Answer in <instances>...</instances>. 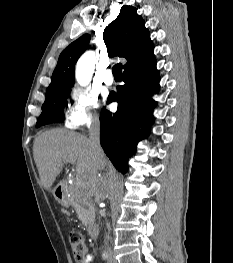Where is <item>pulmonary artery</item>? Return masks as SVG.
Returning <instances> with one entry per match:
<instances>
[{
	"label": "pulmonary artery",
	"mask_w": 233,
	"mask_h": 263,
	"mask_svg": "<svg viewBox=\"0 0 233 263\" xmlns=\"http://www.w3.org/2000/svg\"><path fill=\"white\" fill-rule=\"evenodd\" d=\"M103 81L106 85H112L114 83V78L112 75V71L111 70H106L104 75H103Z\"/></svg>",
	"instance_id": "e3ab8cb5"
}]
</instances>
